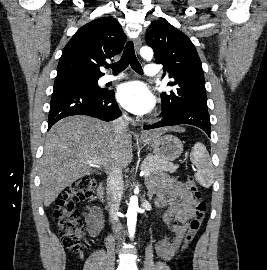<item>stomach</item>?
<instances>
[{
	"mask_svg": "<svg viewBox=\"0 0 267 270\" xmlns=\"http://www.w3.org/2000/svg\"><path fill=\"white\" fill-rule=\"evenodd\" d=\"M151 147L154 154L165 161L177 159L182 151L183 144L179 138L171 134H164L146 142Z\"/></svg>",
	"mask_w": 267,
	"mask_h": 270,
	"instance_id": "obj_1",
	"label": "stomach"
}]
</instances>
